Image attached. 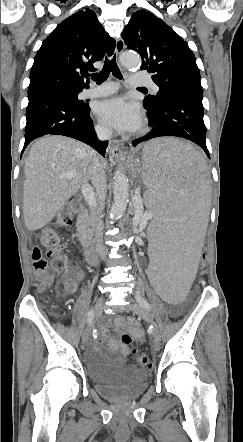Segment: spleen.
Here are the masks:
<instances>
[{
    "label": "spleen",
    "mask_w": 243,
    "mask_h": 442,
    "mask_svg": "<svg viewBox=\"0 0 243 442\" xmlns=\"http://www.w3.org/2000/svg\"><path fill=\"white\" fill-rule=\"evenodd\" d=\"M135 176L145 194L149 214L148 280L165 307H182L189 296L200 243L210 209L209 178L203 156L190 144L173 138L147 143Z\"/></svg>",
    "instance_id": "1"
}]
</instances>
